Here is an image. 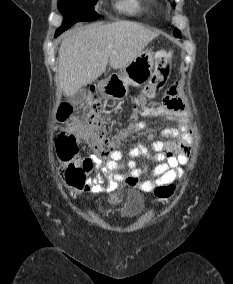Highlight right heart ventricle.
Segmentation results:
<instances>
[{"label":"right heart ventricle","mask_w":233,"mask_h":284,"mask_svg":"<svg viewBox=\"0 0 233 284\" xmlns=\"http://www.w3.org/2000/svg\"><path fill=\"white\" fill-rule=\"evenodd\" d=\"M155 7L154 0H121L119 3L121 10L134 15L150 13Z\"/></svg>","instance_id":"1"}]
</instances>
